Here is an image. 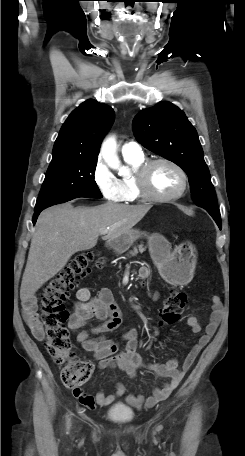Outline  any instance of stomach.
<instances>
[{"label":"stomach","instance_id":"1","mask_svg":"<svg viewBox=\"0 0 245 456\" xmlns=\"http://www.w3.org/2000/svg\"><path fill=\"white\" fill-rule=\"evenodd\" d=\"M144 233L131 229L112 240L114 248L118 251L128 249ZM146 236V235H145ZM151 258L157 266L162 277L171 284H185L191 277L196 263V249L185 241L171 250L169 242L159 233L147 236Z\"/></svg>","mask_w":245,"mask_h":456}]
</instances>
